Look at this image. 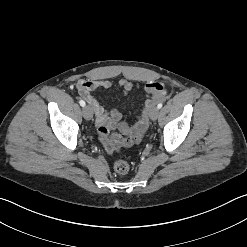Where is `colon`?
Segmentation results:
<instances>
[{
	"instance_id": "1",
	"label": "colon",
	"mask_w": 247,
	"mask_h": 247,
	"mask_svg": "<svg viewBox=\"0 0 247 247\" xmlns=\"http://www.w3.org/2000/svg\"><path fill=\"white\" fill-rule=\"evenodd\" d=\"M130 165L125 160H117L114 163V170L119 174H125L129 171Z\"/></svg>"
}]
</instances>
